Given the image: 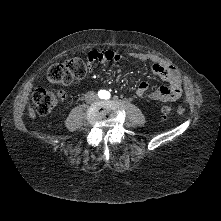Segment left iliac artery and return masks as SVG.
<instances>
[{
  "instance_id": "obj_1",
  "label": "left iliac artery",
  "mask_w": 221,
  "mask_h": 221,
  "mask_svg": "<svg viewBox=\"0 0 221 221\" xmlns=\"http://www.w3.org/2000/svg\"><path fill=\"white\" fill-rule=\"evenodd\" d=\"M105 98H106V99H109V98H110V93H109V92L106 93Z\"/></svg>"
}]
</instances>
